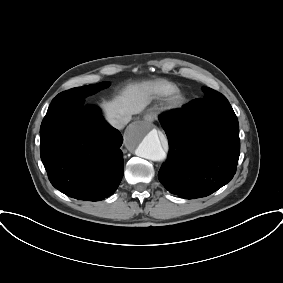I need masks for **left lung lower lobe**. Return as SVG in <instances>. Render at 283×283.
I'll use <instances>...</instances> for the list:
<instances>
[{
    "label": "left lung lower lobe",
    "mask_w": 283,
    "mask_h": 283,
    "mask_svg": "<svg viewBox=\"0 0 283 283\" xmlns=\"http://www.w3.org/2000/svg\"><path fill=\"white\" fill-rule=\"evenodd\" d=\"M234 117L217 91L159 116L169 153L158 178L170 193L205 197L232 180L240 154L239 128L230 126Z\"/></svg>",
    "instance_id": "1"
}]
</instances>
